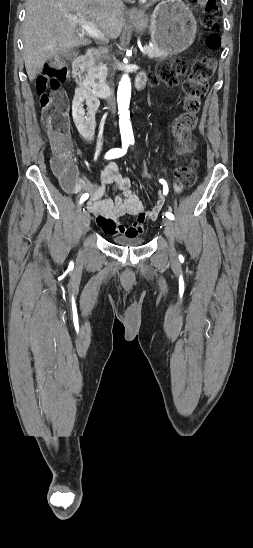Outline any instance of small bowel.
Masks as SVG:
<instances>
[{
  "label": "small bowel",
  "instance_id": "small-bowel-1",
  "mask_svg": "<svg viewBox=\"0 0 253 548\" xmlns=\"http://www.w3.org/2000/svg\"><path fill=\"white\" fill-rule=\"evenodd\" d=\"M72 119L78 133L87 141L92 142L99 133L97 113L99 101L83 88H76L72 99ZM74 174L69 179H61V185L66 192L79 193L85 191L90 195L88 209L95 215L97 225L107 234L140 235L144 232L147 218H156L164 206V199H159L152 210L146 211L139 196L132 190L129 178L123 175L114 161H109L99 172V182L92 184L87 178L78 175L74 166ZM110 188L119 192L114 198H107ZM184 187L174 182V190L181 193ZM124 215L136 217L133 224L118 222Z\"/></svg>",
  "mask_w": 253,
  "mask_h": 548
}]
</instances>
